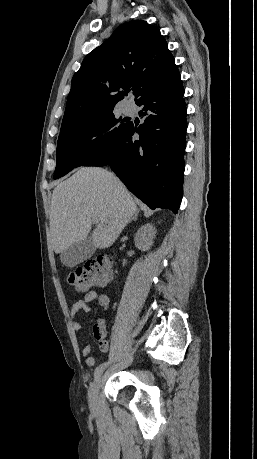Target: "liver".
I'll use <instances>...</instances> for the list:
<instances>
[{
	"label": "liver",
	"instance_id": "liver-1",
	"mask_svg": "<svg viewBox=\"0 0 257 459\" xmlns=\"http://www.w3.org/2000/svg\"><path fill=\"white\" fill-rule=\"evenodd\" d=\"M138 213V208L124 184L111 172L99 167H82L58 184L50 208L51 243L56 254L92 233L96 248L111 246L123 228Z\"/></svg>",
	"mask_w": 257,
	"mask_h": 459
}]
</instances>
